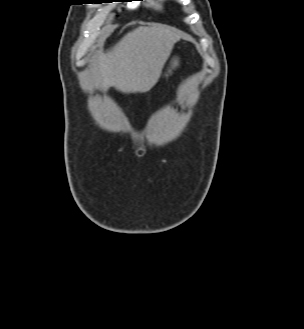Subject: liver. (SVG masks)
<instances>
[{
    "label": "liver",
    "mask_w": 304,
    "mask_h": 329,
    "mask_svg": "<svg viewBox=\"0 0 304 329\" xmlns=\"http://www.w3.org/2000/svg\"><path fill=\"white\" fill-rule=\"evenodd\" d=\"M181 36L178 29L158 23L134 29L105 54L98 53L93 82L100 90L149 91Z\"/></svg>",
    "instance_id": "6515ba94"
}]
</instances>
